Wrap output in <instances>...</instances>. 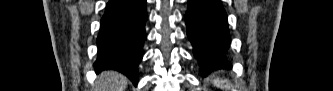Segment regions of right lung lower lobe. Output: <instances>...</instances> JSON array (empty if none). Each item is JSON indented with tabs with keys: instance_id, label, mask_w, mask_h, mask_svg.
<instances>
[{
	"instance_id": "1",
	"label": "right lung lower lobe",
	"mask_w": 333,
	"mask_h": 91,
	"mask_svg": "<svg viewBox=\"0 0 333 91\" xmlns=\"http://www.w3.org/2000/svg\"><path fill=\"white\" fill-rule=\"evenodd\" d=\"M146 20V0H110L107 3L97 38L96 72L116 70L137 85Z\"/></svg>"
}]
</instances>
